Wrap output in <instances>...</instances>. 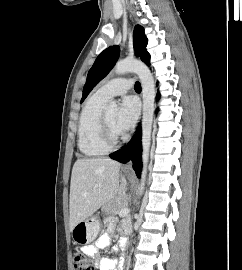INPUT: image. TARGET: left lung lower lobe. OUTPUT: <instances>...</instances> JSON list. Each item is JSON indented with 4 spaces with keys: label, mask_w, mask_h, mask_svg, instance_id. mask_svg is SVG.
Wrapping results in <instances>:
<instances>
[{
    "label": "left lung lower lobe",
    "mask_w": 242,
    "mask_h": 270,
    "mask_svg": "<svg viewBox=\"0 0 242 270\" xmlns=\"http://www.w3.org/2000/svg\"><path fill=\"white\" fill-rule=\"evenodd\" d=\"M159 94H157V99ZM141 127L137 128L136 134L124 148L110 154L109 156L121 163H127L129 159L133 161V169L136 175L140 177L142 162H141Z\"/></svg>",
    "instance_id": "left-lung-lower-lobe-1"
}]
</instances>
